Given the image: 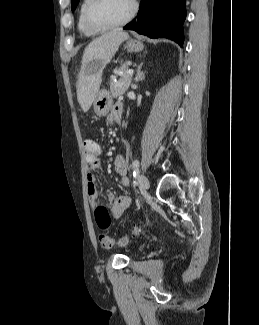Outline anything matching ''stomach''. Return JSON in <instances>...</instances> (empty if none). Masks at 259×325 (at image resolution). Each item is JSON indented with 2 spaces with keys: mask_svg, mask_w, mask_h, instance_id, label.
<instances>
[{
  "mask_svg": "<svg viewBox=\"0 0 259 325\" xmlns=\"http://www.w3.org/2000/svg\"><path fill=\"white\" fill-rule=\"evenodd\" d=\"M143 47V43L138 40H129L125 45V48L129 52H139L143 49ZM112 103V96L108 91H98L93 102L95 114L98 116H106L112 107Z\"/></svg>",
  "mask_w": 259,
  "mask_h": 325,
  "instance_id": "stomach-1",
  "label": "stomach"
}]
</instances>
